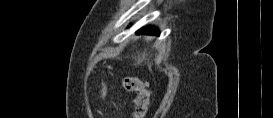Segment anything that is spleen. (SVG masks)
Masks as SVG:
<instances>
[{"label":"spleen","mask_w":273,"mask_h":118,"mask_svg":"<svg viewBox=\"0 0 273 118\" xmlns=\"http://www.w3.org/2000/svg\"><path fill=\"white\" fill-rule=\"evenodd\" d=\"M145 58V55H143V59ZM140 62H142L141 59H138V64H140Z\"/></svg>","instance_id":"1"}]
</instances>
